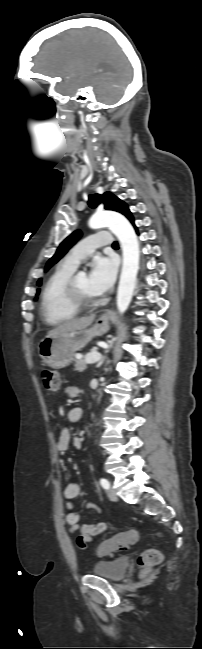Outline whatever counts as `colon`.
I'll use <instances>...</instances> for the list:
<instances>
[{
  "instance_id": "colon-1",
  "label": "colon",
  "mask_w": 202,
  "mask_h": 649,
  "mask_svg": "<svg viewBox=\"0 0 202 649\" xmlns=\"http://www.w3.org/2000/svg\"><path fill=\"white\" fill-rule=\"evenodd\" d=\"M41 381L48 391L56 392L60 389L61 379L57 371L44 369L41 372ZM138 534L135 530L120 532L99 546L103 555H110L115 551L126 549L137 540ZM162 561V554L159 550L151 548L143 551L138 557V565L145 571H151Z\"/></svg>"
}]
</instances>
